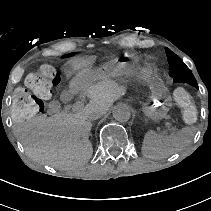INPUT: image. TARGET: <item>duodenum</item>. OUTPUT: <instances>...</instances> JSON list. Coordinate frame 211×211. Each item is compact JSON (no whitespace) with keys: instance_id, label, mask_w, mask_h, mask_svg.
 Listing matches in <instances>:
<instances>
[{"instance_id":"obj_1","label":"duodenum","mask_w":211,"mask_h":211,"mask_svg":"<svg viewBox=\"0 0 211 211\" xmlns=\"http://www.w3.org/2000/svg\"><path fill=\"white\" fill-rule=\"evenodd\" d=\"M82 88V85L80 82L74 81L70 85V92L73 94L78 93Z\"/></svg>"}]
</instances>
